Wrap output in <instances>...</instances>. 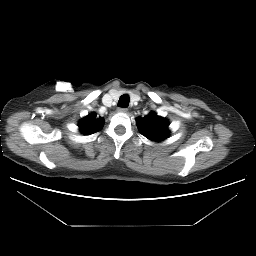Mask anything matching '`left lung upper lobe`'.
Wrapping results in <instances>:
<instances>
[{
  "mask_svg": "<svg viewBox=\"0 0 256 256\" xmlns=\"http://www.w3.org/2000/svg\"><path fill=\"white\" fill-rule=\"evenodd\" d=\"M138 129L142 135L153 141H162L169 135V123L157 114H149L137 119Z\"/></svg>",
  "mask_w": 256,
  "mask_h": 256,
  "instance_id": "left-lung-upper-lobe-1",
  "label": "left lung upper lobe"
}]
</instances>
